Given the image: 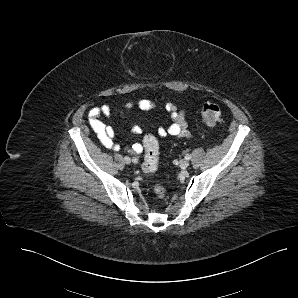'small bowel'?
Masks as SVG:
<instances>
[{
  "instance_id": "1",
  "label": "small bowel",
  "mask_w": 298,
  "mask_h": 298,
  "mask_svg": "<svg viewBox=\"0 0 298 298\" xmlns=\"http://www.w3.org/2000/svg\"><path fill=\"white\" fill-rule=\"evenodd\" d=\"M138 108L142 111H148L154 108V103L149 99H141L138 102H128L125 104L124 109L130 110L132 108ZM166 111L169 112L172 122L167 127H159L157 134L161 138L165 137H189L191 132L189 130L185 111L178 110L172 103H166L164 105ZM111 114V108L107 104L93 107L88 113V123L94 133L97 135L101 144L110 150L118 151L120 149L119 144L114 141V129L105 125L101 121L102 116H109ZM133 134H141L142 128L139 125H134L131 128ZM143 150L140 143H134L129 147L131 153L139 154Z\"/></svg>"
}]
</instances>
